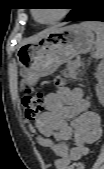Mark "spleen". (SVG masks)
<instances>
[{
  "label": "spleen",
  "mask_w": 104,
  "mask_h": 169,
  "mask_svg": "<svg viewBox=\"0 0 104 169\" xmlns=\"http://www.w3.org/2000/svg\"><path fill=\"white\" fill-rule=\"evenodd\" d=\"M84 26L90 28L96 33L95 48L96 51L93 53V57L96 59L102 58L104 54V27L102 23L97 22H86Z\"/></svg>",
  "instance_id": "3e777b00"
}]
</instances>
